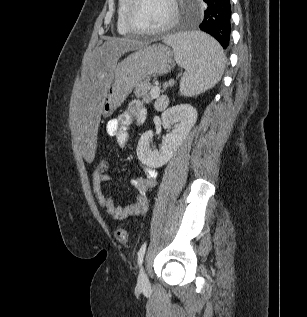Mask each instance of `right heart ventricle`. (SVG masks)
Listing matches in <instances>:
<instances>
[{"mask_svg":"<svg viewBox=\"0 0 307 317\" xmlns=\"http://www.w3.org/2000/svg\"><path fill=\"white\" fill-rule=\"evenodd\" d=\"M127 0H118L117 5V17H116V28L119 34L121 35H131L132 32L125 25L124 13Z\"/></svg>","mask_w":307,"mask_h":317,"instance_id":"1","label":"right heart ventricle"}]
</instances>
